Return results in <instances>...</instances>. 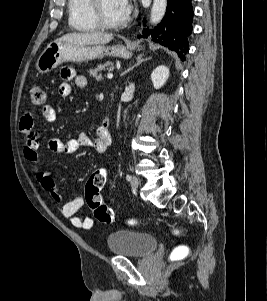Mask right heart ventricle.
<instances>
[{
  "instance_id": "1",
  "label": "right heart ventricle",
  "mask_w": 267,
  "mask_h": 301,
  "mask_svg": "<svg viewBox=\"0 0 267 301\" xmlns=\"http://www.w3.org/2000/svg\"><path fill=\"white\" fill-rule=\"evenodd\" d=\"M68 22L79 32H93L99 29L91 14V0H68Z\"/></svg>"
}]
</instances>
